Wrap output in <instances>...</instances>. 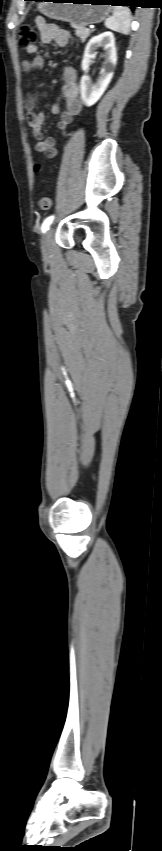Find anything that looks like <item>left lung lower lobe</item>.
I'll return each mask as SVG.
<instances>
[{
    "label": "left lung lower lobe",
    "instance_id": "0a47b994",
    "mask_svg": "<svg viewBox=\"0 0 162 851\" xmlns=\"http://www.w3.org/2000/svg\"><path fill=\"white\" fill-rule=\"evenodd\" d=\"M30 1H42V0H30ZM105 3H110L112 5H123L133 7L130 0H106Z\"/></svg>",
    "mask_w": 162,
    "mask_h": 851
}]
</instances>
